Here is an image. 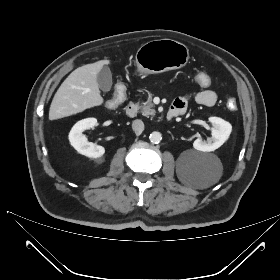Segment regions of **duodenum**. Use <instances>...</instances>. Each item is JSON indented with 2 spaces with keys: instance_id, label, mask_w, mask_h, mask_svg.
Segmentation results:
<instances>
[{
  "instance_id": "obj_1",
  "label": "duodenum",
  "mask_w": 280,
  "mask_h": 280,
  "mask_svg": "<svg viewBox=\"0 0 280 280\" xmlns=\"http://www.w3.org/2000/svg\"><path fill=\"white\" fill-rule=\"evenodd\" d=\"M138 110H139V107H138V104L135 101H131L126 107V113L129 117H135L138 113ZM181 113H182L181 110H179L175 107H171L168 110L167 118L169 120H171L174 117L180 115Z\"/></svg>"
}]
</instances>
